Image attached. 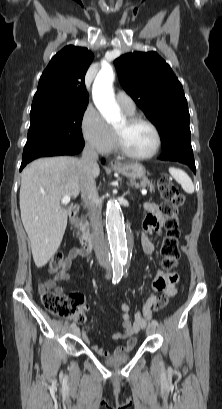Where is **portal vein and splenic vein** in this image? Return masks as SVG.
<instances>
[{"label": "portal vein and splenic vein", "instance_id": "18ae733b", "mask_svg": "<svg viewBox=\"0 0 222 409\" xmlns=\"http://www.w3.org/2000/svg\"><path fill=\"white\" fill-rule=\"evenodd\" d=\"M147 191L146 190H142V195H146ZM71 197L69 195H65L62 198V203L63 204H68L70 202Z\"/></svg>", "mask_w": 222, "mask_h": 409}]
</instances>
